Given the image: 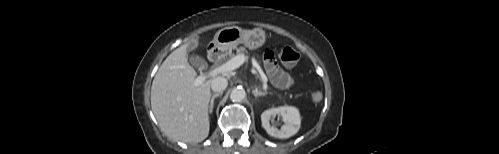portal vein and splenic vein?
<instances>
[{"mask_svg": "<svg viewBox=\"0 0 499 154\" xmlns=\"http://www.w3.org/2000/svg\"><path fill=\"white\" fill-rule=\"evenodd\" d=\"M245 60H246V58L244 55H237V56L233 57L232 59H230L229 61H227L226 63H224L223 65L211 70L207 74L198 76L195 79L194 84L196 86H198V85L202 84L204 81H206V79L208 77L215 76V75L220 74V73H227V72H230L232 70H235V69L239 68L245 62ZM256 67L259 69L258 65H256ZM252 73H255V71L252 70ZM260 73H261L262 81L264 84V89H266L267 77L262 71H260Z\"/></svg>", "mask_w": 499, "mask_h": 154, "instance_id": "portal-vein-and-splenic-vein-1", "label": "portal vein and splenic vein"}]
</instances>
